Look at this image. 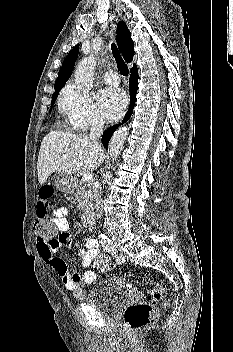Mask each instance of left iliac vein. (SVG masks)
<instances>
[{
	"label": "left iliac vein",
	"instance_id": "4c4485c4",
	"mask_svg": "<svg viewBox=\"0 0 233 352\" xmlns=\"http://www.w3.org/2000/svg\"><path fill=\"white\" fill-rule=\"evenodd\" d=\"M120 255L122 256L124 261H126L128 259V257H129L128 253L125 252L123 249L120 250Z\"/></svg>",
	"mask_w": 233,
	"mask_h": 352
}]
</instances>
